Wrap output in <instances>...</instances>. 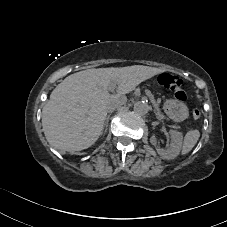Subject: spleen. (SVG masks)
<instances>
[{
    "mask_svg": "<svg viewBox=\"0 0 227 227\" xmlns=\"http://www.w3.org/2000/svg\"><path fill=\"white\" fill-rule=\"evenodd\" d=\"M200 132L198 130H190L186 133L183 141L182 151L181 153L187 154L192 150V148L196 145L199 140Z\"/></svg>",
    "mask_w": 227,
    "mask_h": 227,
    "instance_id": "1",
    "label": "spleen"
}]
</instances>
